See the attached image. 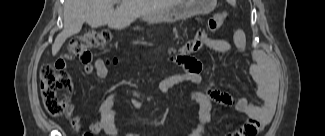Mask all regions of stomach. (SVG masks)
<instances>
[{
	"label": "stomach",
	"instance_id": "1",
	"mask_svg": "<svg viewBox=\"0 0 325 136\" xmlns=\"http://www.w3.org/2000/svg\"><path fill=\"white\" fill-rule=\"evenodd\" d=\"M216 0H177V3L161 12L144 17L151 23L175 22L196 14H207L213 10Z\"/></svg>",
	"mask_w": 325,
	"mask_h": 136
}]
</instances>
